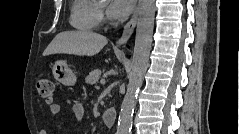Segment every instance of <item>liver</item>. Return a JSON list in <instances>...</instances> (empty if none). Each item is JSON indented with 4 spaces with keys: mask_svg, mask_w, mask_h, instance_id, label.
<instances>
[{
    "mask_svg": "<svg viewBox=\"0 0 239 134\" xmlns=\"http://www.w3.org/2000/svg\"><path fill=\"white\" fill-rule=\"evenodd\" d=\"M105 36L91 31H67L55 36L43 52L51 54H72L77 56H94L107 44Z\"/></svg>",
    "mask_w": 239,
    "mask_h": 134,
    "instance_id": "obj_1",
    "label": "liver"
}]
</instances>
